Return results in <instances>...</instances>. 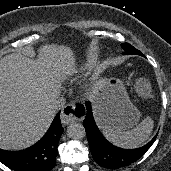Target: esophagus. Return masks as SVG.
<instances>
[{
  "mask_svg": "<svg viewBox=\"0 0 171 171\" xmlns=\"http://www.w3.org/2000/svg\"><path fill=\"white\" fill-rule=\"evenodd\" d=\"M79 118L77 116V110L74 103L66 105L64 111L61 113V122L63 124H69L77 121Z\"/></svg>",
  "mask_w": 171,
  "mask_h": 171,
  "instance_id": "1",
  "label": "esophagus"
}]
</instances>
